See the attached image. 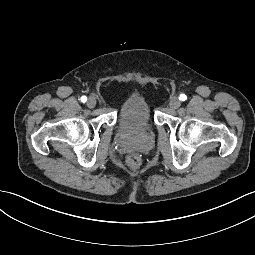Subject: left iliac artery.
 Listing matches in <instances>:
<instances>
[{
  "label": "left iliac artery",
  "instance_id": "44dca946",
  "mask_svg": "<svg viewBox=\"0 0 255 255\" xmlns=\"http://www.w3.org/2000/svg\"><path fill=\"white\" fill-rule=\"evenodd\" d=\"M179 99H180L181 101H185V100L187 99V97H186V95L181 94V95L179 96Z\"/></svg>",
  "mask_w": 255,
  "mask_h": 255
}]
</instances>
